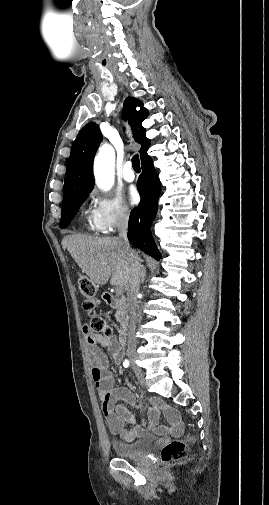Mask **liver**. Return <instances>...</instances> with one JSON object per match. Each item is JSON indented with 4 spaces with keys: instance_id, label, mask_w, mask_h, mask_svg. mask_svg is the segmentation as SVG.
<instances>
[{
    "instance_id": "liver-1",
    "label": "liver",
    "mask_w": 269,
    "mask_h": 505,
    "mask_svg": "<svg viewBox=\"0 0 269 505\" xmlns=\"http://www.w3.org/2000/svg\"><path fill=\"white\" fill-rule=\"evenodd\" d=\"M61 244L93 284L102 286L111 278V285L127 290L130 262L118 238L72 234L65 236Z\"/></svg>"
}]
</instances>
